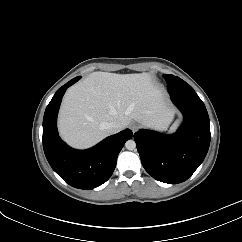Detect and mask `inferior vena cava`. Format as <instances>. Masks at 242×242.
Segmentation results:
<instances>
[{"instance_id": "obj_1", "label": "inferior vena cava", "mask_w": 242, "mask_h": 242, "mask_svg": "<svg viewBox=\"0 0 242 242\" xmlns=\"http://www.w3.org/2000/svg\"><path fill=\"white\" fill-rule=\"evenodd\" d=\"M105 129L109 134H115L120 132L123 129V126L118 122H110L106 124Z\"/></svg>"}]
</instances>
